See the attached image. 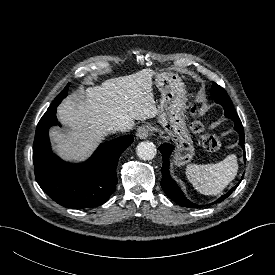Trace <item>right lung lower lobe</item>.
<instances>
[{"label": "right lung lower lobe", "mask_w": 275, "mask_h": 275, "mask_svg": "<svg viewBox=\"0 0 275 275\" xmlns=\"http://www.w3.org/2000/svg\"><path fill=\"white\" fill-rule=\"evenodd\" d=\"M59 103L50 105L36 128L33 145L36 181L50 198L64 207H97L114 192L119 157L134 139L130 135L113 139L100 144L86 162L67 163L53 154L48 137L49 128L57 125Z\"/></svg>", "instance_id": "98d812e1"}]
</instances>
